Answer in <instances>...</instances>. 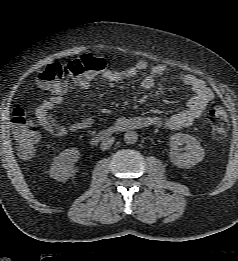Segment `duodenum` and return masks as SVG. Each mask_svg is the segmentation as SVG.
<instances>
[{
  "label": "duodenum",
  "mask_w": 238,
  "mask_h": 261,
  "mask_svg": "<svg viewBox=\"0 0 238 261\" xmlns=\"http://www.w3.org/2000/svg\"><path fill=\"white\" fill-rule=\"evenodd\" d=\"M129 129H134V127L131 126V125H117V124H115L114 126L108 127L106 129L96 133L94 136H92L91 143L97 144L99 142H102L104 140L109 139L110 137H112L117 132L129 130Z\"/></svg>",
  "instance_id": "410a0bca"
}]
</instances>
